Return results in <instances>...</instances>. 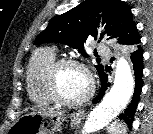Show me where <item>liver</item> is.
<instances>
[{"instance_id": "obj_1", "label": "liver", "mask_w": 153, "mask_h": 134, "mask_svg": "<svg viewBox=\"0 0 153 134\" xmlns=\"http://www.w3.org/2000/svg\"><path fill=\"white\" fill-rule=\"evenodd\" d=\"M42 110L49 112L51 115H62L64 113L59 108H53V107L43 108Z\"/></svg>"}]
</instances>
